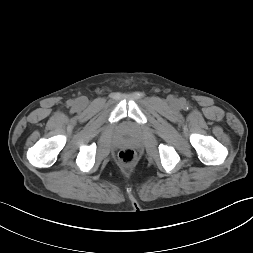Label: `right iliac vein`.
I'll return each mask as SVG.
<instances>
[{
	"label": "right iliac vein",
	"instance_id": "1",
	"mask_svg": "<svg viewBox=\"0 0 253 253\" xmlns=\"http://www.w3.org/2000/svg\"><path fill=\"white\" fill-rule=\"evenodd\" d=\"M78 106L82 107L86 104V101L85 99H80L78 102H77Z\"/></svg>",
	"mask_w": 253,
	"mask_h": 253
}]
</instances>
